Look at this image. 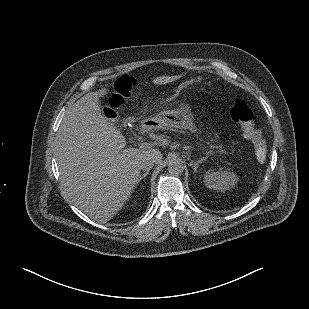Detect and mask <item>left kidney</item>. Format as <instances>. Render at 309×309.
I'll list each match as a JSON object with an SVG mask.
<instances>
[{
  "instance_id": "left-kidney-1",
  "label": "left kidney",
  "mask_w": 309,
  "mask_h": 309,
  "mask_svg": "<svg viewBox=\"0 0 309 309\" xmlns=\"http://www.w3.org/2000/svg\"><path fill=\"white\" fill-rule=\"evenodd\" d=\"M203 179L207 188L218 191L228 190L230 187L235 186L238 181L236 174L222 169L217 172L212 169L208 170Z\"/></svg>"
}]
</instances>
